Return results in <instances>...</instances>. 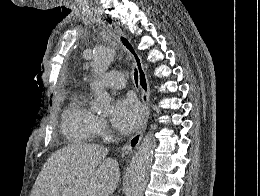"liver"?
<instances>
[{
	"instance_id": "liver-1",
	"label": "liver",
	"mask_w": 260,
	"mask_h": 196,
	"mask_svg": "<svg viewBox=\"0 0 260 196\" xmlns=\"http://www.w3.org/2000/svg\"><path fill=\"white\" fill-rule=\"evenodd\" d=\"M109 150L96 144L65 146L46 160L30 196H111L120 168Z\"/></svg>"
}]
</instances>
